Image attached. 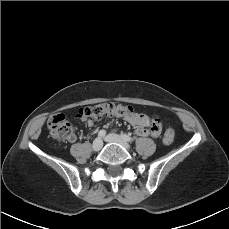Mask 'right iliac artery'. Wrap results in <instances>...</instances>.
I'll list each match as a JSON object with an SVG mask.
<instances>
[{"instance_id": "82829eb1", "label": "right iliac artery", "mask_w": 229, "mask_h": 229, "mask_svg": "<svg viewBox=\"0 0 229 229\" xmlns=\"http://www.w3.org/2000/svg\"><path fill=\"white\" fill-rule=\"evenodd\" d=\"M106 135V131L105 130H100L98 133V137L99 138H103Z\"/></svg>"}]
</instances>
